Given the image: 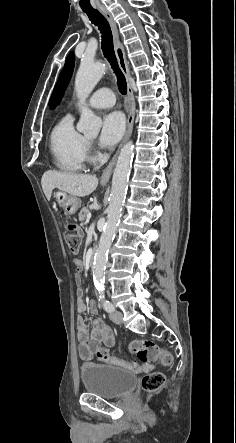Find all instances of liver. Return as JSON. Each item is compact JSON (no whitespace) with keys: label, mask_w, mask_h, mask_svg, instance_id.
Instances as JSON below:
<instances>
[{"label":"liver","mask_w":236,"mask_h":443,"mask_svg":"<svg viewBox=\"0 0 236 443\" xmlns=\"http://www.w3.org/2000/svg\"><path fill=\"white\" fill-rule=\"evenodd\" d=\"M41 185L47 200L51 199L52 191L55 188L72 196L85 197L97 188L98 179L96 176L88 174L48 170L42 176Z\"/></svg>","instance_id":"liver-1"}]
</instances>
